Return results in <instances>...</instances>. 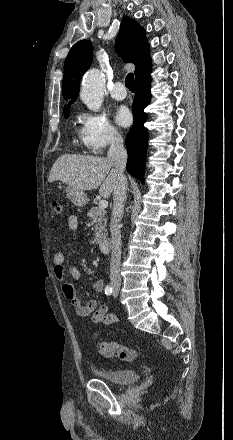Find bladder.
Segmentation results:
<instances>
[{
    "label": "bladder",
    "mask_w": 233,
    "mask_h": 440,
    "mask_svg": "<svg viewBox=\"0 0 233 440\" xmlns=\"http://www.w3.org/2000/svg\"><path fill=\"white\" fill-rule=\"evenodd\" d=\"M94 374L117 385L131 384L138 379V373L132 369L106 370L95 367Z\"/></svg>",
    "instance_id": "31cf9c89"
}]
</instances>
